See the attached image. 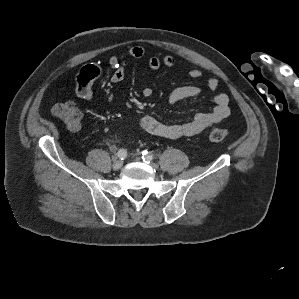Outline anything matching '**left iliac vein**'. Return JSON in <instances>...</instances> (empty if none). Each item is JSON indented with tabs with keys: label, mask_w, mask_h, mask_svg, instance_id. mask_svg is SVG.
<instances>
[{
	"label": "left iliac vein",
	"mask_w": 299,
	"mask_h": 299,
	"mask_svg": "<svg viewBox=\"0 0 299 299\" xmlns=\"http://www.w3.org/2000/svg\"><path fill=\"white\" fill-rule=\"evenodd\" d=\"M150 165L153 167V168H155V169H157L158 168V165L156 164V163H150Z\"/></svg>",
	"instance_id": "1"
}]
</instances>
